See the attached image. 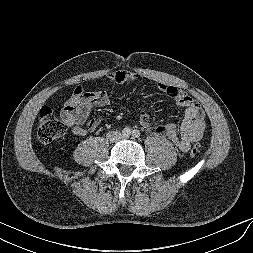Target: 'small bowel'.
I'll list each match as a JSON object with an SVG mask.
<instances>
[{
  "label": "small bowel",
  "instance_id": "obj_1",
  "mask_svg": "<svg viewBox=\"0 0 253 253\" xmlns=\"http://www.w3.org/2000/svg\"><path fill=\"white\" fill-rule=\"evenodd\" d=\"M139 76L132 71L117 70L110 74L109 79L116 83H132ZM158 89L168 95L180 107L185 109L183 121L178 128L174 123H168L161 128H153L149 114L144 107L140 108V124L151 135L166 136L182 152H187L192 143L199 141L206 128L205 115L199 105L184 91L175 85L165 82L158 83ZM109 104V96L104 88L88 91L83 86L75 88L61 111L62 119L71 128L73 134L84 136L89 131L96 130L102 123L101 117H95L83 127L91 113Z\"/></svg>",
  "mask_w": 253,
  "mask_h": 253
}]
</instances>
